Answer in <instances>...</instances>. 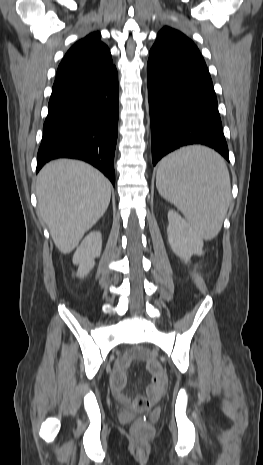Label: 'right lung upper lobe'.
Here are the masks:
<instances>
[{
  "instance_id": "right-lung-upper-lobe-1",
  "label": "right lung upper lobe",
  "mask_w": 263,
  "mask_h": 465,
  "mask_svg": "<svg viewBox=\"0 0 263 465\" xmlns=\"http://www.w3.org/2000/svg\"><path fill=\"white\" fill-rule=\"evenodd\" d=\"M113 67L110 51L100 41V33H91L68 50L58 67L55 84L100 75Z\"/></svg>"
}]
</instances>
